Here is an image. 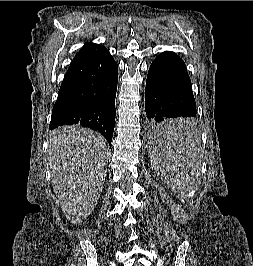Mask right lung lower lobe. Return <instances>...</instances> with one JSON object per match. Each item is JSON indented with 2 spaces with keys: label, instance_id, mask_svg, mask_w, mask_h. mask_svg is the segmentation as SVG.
Masks as SVG:
<instances>
[{
  "label": "right lung lower lobe",
  "instance_id": "98d812e1",
  "mask_svg": "<svg viewBox=\"0 0 253 266\" xmlns=\"http://www.w3.org/2000/svg\"><path fill=\"white\" fill-rule=\"evenodd\" d=\"M118 65L104 47L71 63L54 104L49 129L82 125L100 132L111 146Z\"/></svg>",
  "mask_w": 253,
  "mask_h": 266
}]
</instances>
